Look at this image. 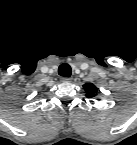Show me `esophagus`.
Listing matches in <instances>:
<instances>
[{"instance_id": "obj_1", "label": "esophagus", "mask_w": 137, "mask_h": 145, "mask_svg": "<svg viewBox=\"0 0 137 145\" xmlns=\"http://www.w3.org/2000/svg\"><path fill=\"white\" fill-rule=\"evenodd\" d=\"M61 80L63 82H70L72 79L70 77H62Z\"/></svg>"}]
</instances>
